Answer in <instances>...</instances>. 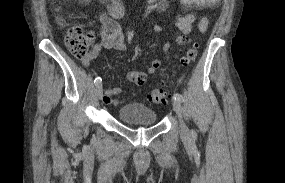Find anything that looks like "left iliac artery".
<instances>
[{
    "instance_id": "left-iliac-artery-1",
    "label": "left iliac artery",
    "mask_w": 285,
    "mask_h": 183,
    "mask_svg": "<svg viewBox=\"0 0 285 183\" xmlns=\"http://www.w3.org/2000/svg\"><path fill=\"white\" fill-rule=\"evenodd\" d=\"M174 98L177 99V100H179L180 102H183V101H184V97H183V95L180 94V93H176V94L174 95ZM191 133L194 134L195 132L192 130Z\"/></svg>"
}]
</instances>
